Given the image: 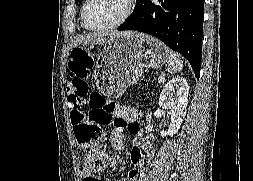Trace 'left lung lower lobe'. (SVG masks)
I'll list each match as a JSON object with an SVG mask.
<instances>
[{
    "label": "left lung lower lobe",
    "mask_w": 253,
    "mask_h": 181,
    "mask_svg": "<svg viewBox=\"0 0 253 181\" xmlns=\"http://www.w3.org/2000/svg\"><path fill=\"white\" fill-rule=\"evenodd\" d=\"M205 0H138L118 30L148 33L181 53L199 78Z\"/></svg>",
    "instance_id": "0a47b994"
}]
</instances>
